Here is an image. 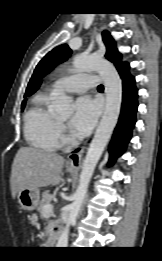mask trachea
Returning <instances> with one entry per match:
<instances>
[{"label":"trachea","instance_id":"3493384b","mask_svg":"<svg viewBox=\"0 0 162 261\" xmlns=\"http://www.w3.org/2000/svg\"><path fill=\"white\" fill-rule=\"evenodd\" d=\"M98 89H99V90H102V89H103V86H102V85H99V86H98Z\"/></svg>","mask_w":162,"mask_h":261}]
</instances>
